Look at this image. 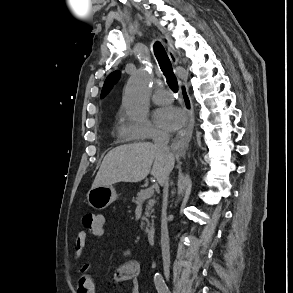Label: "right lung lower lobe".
<instances>
[{"label":"right lung lower lobe","mask_w":293,"mask_h":293,"mask_svg":"<svg viewBox=\"0 0 293 293\" xmlns=\"http://www.w3.org/2000/svg\"><path fill=\"white\" fill-rule=\"evenodd\" d=\"M183 95H184V99H185L186 105L189 107L190 106L189 105V99H188V97H187L184 89H183Z\"/></svg>","instance_id":"obj_1"}]
</instances>
